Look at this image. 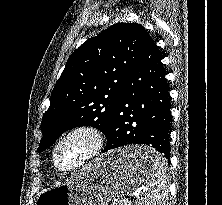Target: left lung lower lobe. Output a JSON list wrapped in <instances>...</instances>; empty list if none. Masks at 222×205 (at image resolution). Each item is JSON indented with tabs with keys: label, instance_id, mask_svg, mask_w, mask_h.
Wrapping results in <instances>:
<instances>
[{
	"label": "left lung lower lobe",
	"instance_id": "left-lung-lower-lobe-1",
	"mask_svg": "<svg viewBox=\"0 0 222 205\" xmlns=\"http://www.w3.org/2000/svg\"><path fill=\"white\" fill-rule=\"evenodd\" d=\"M161 59L150 37L127 76L113 123L106 135L104 152L129 144H146L169 161L170 89Z\"/></svg>",
	"mask_w": 222,
	"mask_h": 205
}]
</instances>
